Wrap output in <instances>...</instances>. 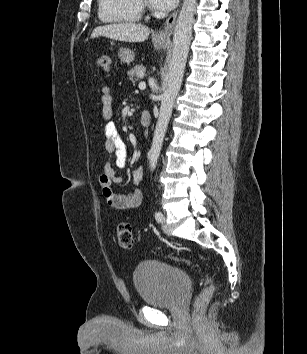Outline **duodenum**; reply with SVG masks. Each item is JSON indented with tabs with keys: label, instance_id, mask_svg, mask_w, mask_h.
Listing matches in <instances>:
<instances>
[{
	"label": "duodenum",
	"instance_id": "1",
	"mask_svg": "<svg viewBox=\"0 0 307 354\" xmlns=\"http://www.w3.org/2000/svg\"><path fill=\"white\" fill-rule=\"evenodd\" d=\"M151 113L148 110H145L141 114L140 122L143 126L148 127L151 123Z\"/></svg>",
	"mask_w": 307,
	"mask_h": 354
}]
</instances>
